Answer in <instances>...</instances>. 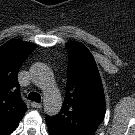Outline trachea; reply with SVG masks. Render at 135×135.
<instances>
[{
	"mask_svg": "<svg viewBox=\"0 0 135 135\" xmlns=\"http://www.w3.org/2000/svg\"><path fill=\"white\" fill-rule=\"evenodd\" d=\"M28 99L31 101H35L37 103L41 102V96H40V94H38L36 92H30L28 95Z\"/></svg>",
	"mask_w": 135,
	"mask_h": 135,
	"instance_id": "obj_1",
	"label": "trachea"
}]
</instances>
